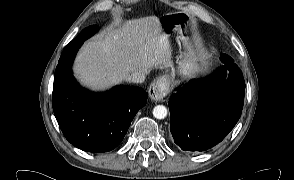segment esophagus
Segmentation results:
<instances>
[{
    "label": "esophagus",
    "instance_id": "obj_1",
    "mask_svg": "<svg viewBox=\"0 0 294 180\" xmlns=\"http://www.w3.org/2000/svg\"><path fill=\"white\" fill-rule=\"evenodd\" d=\"M172 81L173 78L171 75H163L159 77L149 86V97L156 102L164 101L165 97L169 93V88Z\"/></svg>",
    "mask_w": 294,
    "mask_h": 180
}]
</instances>
